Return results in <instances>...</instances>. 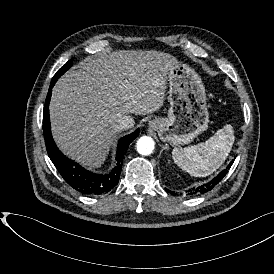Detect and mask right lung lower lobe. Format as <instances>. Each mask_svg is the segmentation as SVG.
<instances>
[{
	"instance_id": "obj_1",
	"label": "right lung lower lobe",
	"mask_w": 274,
	"mask_h": 274,
	"mask_svg": "<svg viewBox=\"0 0 274 274\" xmlns=\"http://www.w3.org/2000/svg\"><path fill=\"white\" fill-rule=\"evenodd\" d=\"M57 80L52 78L43 111V133L48 155L63 179L75 190L92 196L105 194L118 184L122 169L123 152H126L127 146L139 135L140 130H135L119 141L117 147V165L111 173L105 175L95 174L81 167L63 155L52 138L49 102L52 88Z\"/></svg>"
}]
</instances>
